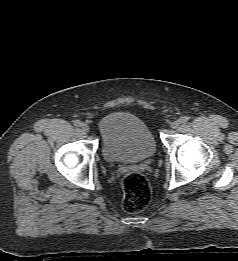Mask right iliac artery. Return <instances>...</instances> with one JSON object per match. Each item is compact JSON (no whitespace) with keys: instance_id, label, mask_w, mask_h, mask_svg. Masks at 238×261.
<instances>
[{"instance_id":"obj_1","label":"right iliac artery","mask_w":238,"mask_h":261,"mask_svg":"<svg viewBox=\"0 0 238 261\" xmlns=\"http://www.w3.org/2000/svg\"><path fill=\"white\" fill-rule=\"evenodd\" d=\"M81 125H82V123H81L80 120H75V121H74V126L80 127Z\"/></svg>"}]
</instances>
